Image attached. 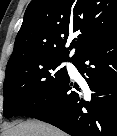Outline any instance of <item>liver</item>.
<instances>
[{"label": "liver", "instance_id": "liver-1", "mask_svg": "<svg viewBox=\"0 0 117 136\" xmlns=\"http://www.w3.org/2000/svg\"><path fill=\"white\" fill-rule=\"evenodd\" d=\"M4 136H67L55 127L38 121L8 126Z\"/></svg>", "mask_w": 117, "mask_h": 136}]
</instances>
